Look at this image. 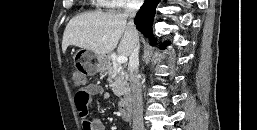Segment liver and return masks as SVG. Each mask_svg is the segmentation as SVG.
Returning <instances> with one entry per match:
<instances>
[{
	"label": "liver",
	"instance_id": "1",
	"mask_svg": "<svg viewBox=\"0 0 257 130\" xmlns=\"http://www.w3.org/2000/svg\"><path fill=\"white\" fill-rule=\"evenodd\" d=\"M70 45L103 56L118 45L117 53L126 57L130 56L133 47L126 18L122 14L103 12H88L73 17L63 34L62 51L65 52Z\"/></svg>",
	"mask_w": 257,
	"mask_h": 130
}]
</instances>
